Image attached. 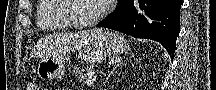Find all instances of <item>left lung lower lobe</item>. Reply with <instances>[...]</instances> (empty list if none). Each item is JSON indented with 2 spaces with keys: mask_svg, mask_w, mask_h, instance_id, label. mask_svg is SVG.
Returning a JSON list of instances; mask_svg holds the SVG:
<instances>
[{
  "mask_svg": "<svg viewBox=\"0 0 216 90\" xmlns=\"http://www.w3.org/2000/svg\"><path fill=\"white\" fill-rule=\"evenodd\" d=\"M182 0H119L97 26L160 42L173 59L180 31Z\"/></svg>",
  "mask_w": 216,
  "mask_h": 90,
  "instance_id": "left-lung-lower-lobe-1",
  "label": "left lung lower lobe"
}]
</instances>
